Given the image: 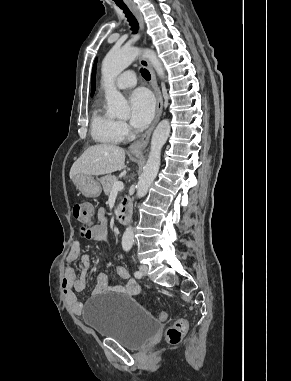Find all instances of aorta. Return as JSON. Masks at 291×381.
<instances>
[{"mask_svg":"<svg viewBox=\"0 0 291 381\" xmlns=\"http://www.w3.org/2000/svg\"><path fill=\"white\" fill-rule=\"evenodd\" d=\"M143 52L148 58L157 74L164 78L163 66L153 50L142 51L136 47H123L119 50H110L102 63V80L107 101V114L112 117L125 118L129 115V108L124 96L116 89V77L126 69L135 58ZM170 134V123L167 119L162 120L153 132L148 160L137 185V197H144L151 183L157 176L160 167V155L163 145ZM134 241V230L132 226L126 228L122 237V247L129 250Z\"/></svg>","mask_w":291,"mask_h":381,"instance_id":"aorta-1","label":"aorta"}]
</instances>
